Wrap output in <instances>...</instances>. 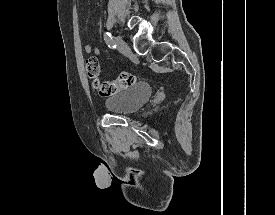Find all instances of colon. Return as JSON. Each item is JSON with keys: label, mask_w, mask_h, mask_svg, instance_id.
I'll return each instance as SVG.
<instances>
[{"label": "colon", "mask_w": 275, "mask_h": 215, "mask_svg": "<svg viewBox=\"0 0 275 215\" xmlns=\"http://www.w3.org/2000/svg\"><path fill=\"white\" fill-rule=\"evenodd\" d=\"M86 71L91 80L92 87L99 93L101 97H109V95L123 91L134 85L136 76L133 72L123 71L117 78L112 81L99 80V62L95 57H89L86 60Z\"/></svg>", "instance_id": "1"}]
</instances>
